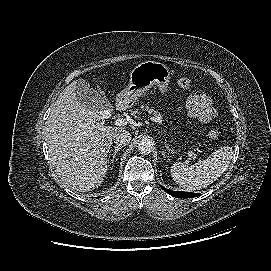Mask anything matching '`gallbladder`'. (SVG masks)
Wrapping results in <instances>:
<instances>
[{
    "label": "gallbladder",
    "mask_w": 271,
    "mask_h": 271,
    "mask_svg": "<svg viewBox=\"0 0 271 271\" xmlns=\"http://www.w3.org/2000/svg\"><path fill=\"white\" fill-rule=\"evenodd\" d=\"M78 102L91 111L98 112L107 117L112 112V105L108 99L99 91L90 87L83 79H78L75 87Z\"/></svg>",
    "instance_id": "gallbladder-1"
}]
</instances>
